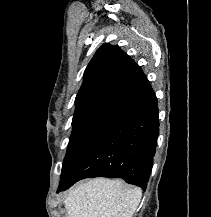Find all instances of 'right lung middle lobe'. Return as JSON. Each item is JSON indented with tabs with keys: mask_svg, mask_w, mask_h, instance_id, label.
<instances>
[{
	"mask_svg": "<svg viewBox=\"0 0 211 217\" xmlns=\"http://www.w3.org/2000/svg\"><path fill=\"white\" fill-rule=\"evenodd\" d=\"M116 117L113 115H93L73 120V131L63 161L61 179L69 174L80 157Z\"/></svg>",
	"mask_w": 211,
	"mask_h": 217,
	"instance_id": "right-lung-middle-lobe-1",
	"label": "right lung middle lobe"
}]
</instances>
